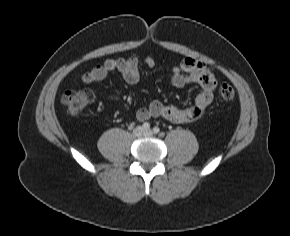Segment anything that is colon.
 Listing matches in <instances>:
<instances>
[{"mask_svg": "<svg viewBox=\"0 0 290 236\" xmlns=\"http://www.w3.org/2000/svg\"><path fill=\"white\" fill-rule=\"evenodd\" d=\"M220 96L230 101L235 97V91L232 86L224 84L220 88ZM93 98L94 94L89 89L70 88L62 95V102L67 106L70 115L77 116L92 103Z\"/></svg>", "mask_w": 290, "mask_h": 236, "instance_id": "5ec220e1", "label": "colon"}]
</instances>
